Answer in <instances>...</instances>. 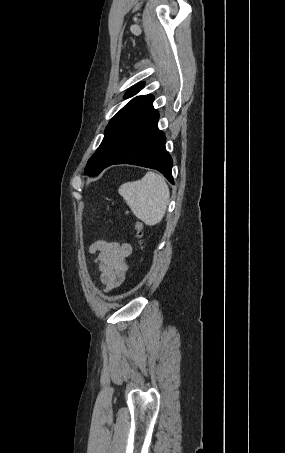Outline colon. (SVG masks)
Masks as SVG:
<instances>
[{
    "label": "colon",
    "instance_id": "colon-1",
    "mask_svg": "<svg viewBox=\"0 0 285 453\" xmlns=\"http://www.w3.org/2000/svg\"><path fill=\"white\" fill-rule=\"evenodd\" d=\"M134 231H135V236L140 245V248L143 249V247H144V231H143V225L141 222H135Z\"/></svg>",
    "mask_w": 285,
    "mask_h": 453
}]
</instances>
